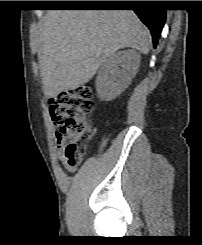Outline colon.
Returning <instances> with one entry per match:
<instances>
[{
	"instance_id": "obj_1",
	"label": "colon",
	"mask_w": 202,
	"mask_h": 245,
	"mask_svg": "<svg viewBox=\"0 0 202 245\" xmlns=\"http://www.w3.org/2000/svg\"><path fill=\"white\" fill-rule=\"evenodd\" d=\"M91 87L63 91L56 99L53 113L57 123L56 135L65 141L64 158L70 166L82 159L91 136V114L94 110Z\"/></svg>"
}]
</instances>
